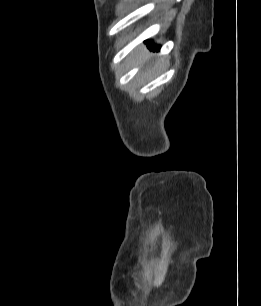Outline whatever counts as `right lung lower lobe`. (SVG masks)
I'll list each match as a JSON object with an SVG mask.
<instances>
[{"instance_id":"obj_1","label":"right lung lower lobe","mask_w":261,"mask_h":306,"mask_svg":"<svg viewBox=\"0 0 261 306\" xmlns=\"http://www.w3.org/2000/svg\"><path fill=\"white\" fill-rule=\"evenodd\" d=\"M155 49H156V50H158V49H159V47H154V50H155Z\"/></svg>"}]
</instances>
